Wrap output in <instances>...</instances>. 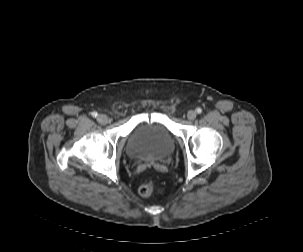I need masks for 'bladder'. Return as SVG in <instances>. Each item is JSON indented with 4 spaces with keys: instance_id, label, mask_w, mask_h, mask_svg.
I'll list each match as a JSON object with an SVG mask.
<instances>
[{
    "instance_id": "bladder-1",
    "label": "bladder",
    "mask_w": 303,
    "mask_h": 252,
    "mask_svg": "<svg viewBox=\"0 0 303 252\" xmlns=\"http://www.w3.org/2000/svg\"><path fill=\"white\" fill-rule=\"evenodd\" d=\"M175 149V139L159 123H145L137 127L125 145L126 154L135 160L154 161L169 157Z\"/></svg>"
}]
</instances>
